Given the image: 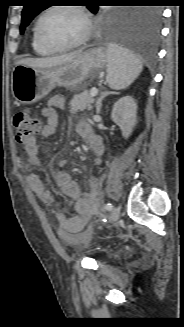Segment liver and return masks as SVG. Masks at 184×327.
Returning a JSON list of instances; mask_svg holds the SVG:
<instances>
[{"label":"liver","instance_id":"obj_1","mask_svg":"<svg viewBox=\"0 0 184 327\" xmlns=\"http://www.w3.org/2000/svg\"><path fill=\"white\" fill-rule=\"evenodd\" d=\"M81 51L74 53L64 54L56 57H47V58H26L17 62L18 64L26 65L32 68H41L48 69L52 67H57L62 65L79 55Z\"/></svg>","mask_w":184,"mask_h":327}]
</instances>
